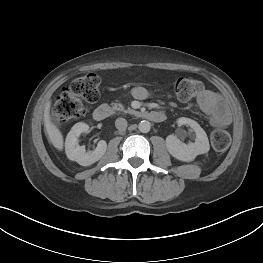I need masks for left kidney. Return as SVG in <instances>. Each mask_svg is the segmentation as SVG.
Returning <instances> with one entry per match:
<instances>
[{
    "label": "left kidney",
    "instance_id": "5707ae66",
    "mask_svg": "<svg viewBox=\"0 0 263 263\" xmlns=\"http://www.w3.org/2000/svg\"><path fill=\"white\" fill-rule=\"evenodd\" d=\"M177 124L188 125L196 133L195 142L185 144L181 142L177 136L169 135L166 138V147L169 153L176 159L184 162H190L197 155L207 153L210 149L209 140L206 132L201 126L190 118L181 117L177 120Z\"/></svg>",
    "mask_w": 263,
    "mask_h": 263
}]
</instances>
